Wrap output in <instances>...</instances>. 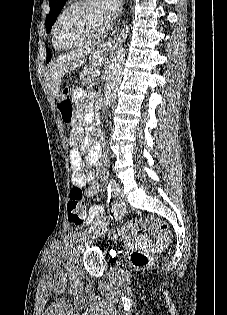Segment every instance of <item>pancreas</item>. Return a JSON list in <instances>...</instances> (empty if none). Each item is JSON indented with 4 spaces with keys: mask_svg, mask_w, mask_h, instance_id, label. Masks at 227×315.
<instances>
[{
    "mask_svg": "<svg viewBox=\"0 0 227 315\" xmlns=\"http://www.w3.org/2000/svg\"><path fill=\"white\" fill-rule=\"evenodd\" d=\"M80 79L82 80V84L93 86L95 84L94 71L89 69L80 74Z\"/></svg>",
    "mask_w": 227,
    "mask_h": 315,
    "instance_id": "obj_1",
    "label": "pancreas"
}]
</instances>
